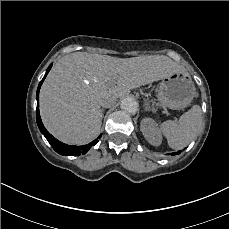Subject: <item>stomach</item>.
<instances>
[{
	"instance_id": "1",
	"label": "stomach",
	"mask_w": 229,
	"mask_h": 229,
	"mask_svg": "<svg viewBox=\"0 0 229 229\" xmlns=\"http://www.w3.org/2000/svg\"><path fill=\"white\" fill-rule=\"evenodd\" d=\"M195 96V85L186 73H174L163 78L157 90L160 105L173 110L187 107Z\"/></svg>"
}]
</instances>
